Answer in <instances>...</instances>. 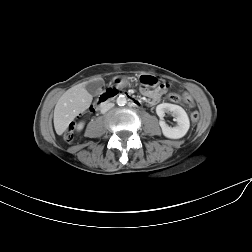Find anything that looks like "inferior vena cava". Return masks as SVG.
<instances>
[{
	"instance_id": "obj_1",
	"label": "inferior vena cava",
	"mask_w": 252,
	"mask_h": 252,
	"mask_svg": "<svg viewBox=\"0 0 252 252\" xmlns=\"http://www.w3.org/2000/svg\"><path fill=\"white\" fill-rule=\"evenodd\" d=\"M113 106H114L113 103L104 104L103 107H102V112L108 111V110L111 109Z\"/></svg>"
}]
</instances>
